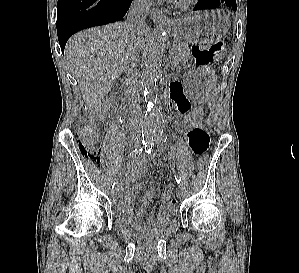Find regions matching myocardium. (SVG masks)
<instances>
[{
    "label": "myocardium",
    "instance_id": "f54148a6",
    "mask_svg": "<svg viewBox=\"0 0 299 273\" xmlns=\"http://www.w3.org/2000/svg\"><path fill=\"white\" fill-rule=\"evenodd\" d=\"M172 6L178 10L186 11L192 8L198 0H169Z\"/></svg>",
    "mask_w": 299,
    "mask_h": 273
}]
</instances>
